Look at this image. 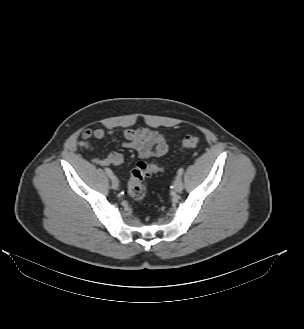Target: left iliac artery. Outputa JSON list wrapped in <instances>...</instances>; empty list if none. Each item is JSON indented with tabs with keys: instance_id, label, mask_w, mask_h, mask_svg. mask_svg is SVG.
<instances>
[{
	"instance_id": "obj_1",
	"label": "left iliac artery",
	"mask_w": 304,
	"mask_h": 329,
	"mask_svg": "<svg viewBox=\"0 0 304 329\" xmlns=\"http://www.w3.org/2000/svg\"><path fill=\"white\" fill-rule=\"evenodd\" d=\"M183 173H184V169L182 167L179 168V170L177 172L178 176H182Z\"/></svg>"
}]
</instances>
